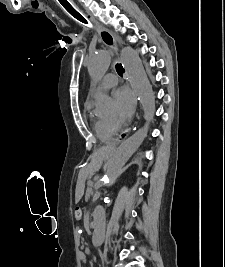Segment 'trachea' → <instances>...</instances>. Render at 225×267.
Returning <instances> with one entry per match:
<instances>
[{
	"mask_svg": "<svg viewBox=\"0 0 225 267\" xmlns=\"http://www.w3.org/2000/svg\"><path fill=\"white\" fill-rule=\"evenodd\" d=\"M70 14H71V13H70ZM71 15H72L74 18H76L78 21H80V22H82V23H84V24H87V23H88L87 20H86L82 15H80L79 13H77L76 15H73V14H71ZM102 36H103V39L105 40V37H108L109 35H108L107 33H103ZM116 71H117V73H118L120 76H122V74L125 72V70H124L122 64H117V65H116Z\"/></svg>",
	"mask_w": 225,
	"mask_h": 267,
	"instance_id": "obj_1",
	"label": "trachea"
}]
</instances>
